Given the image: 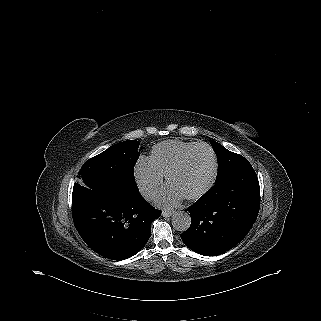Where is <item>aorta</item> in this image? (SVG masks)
I'll use <instances>...</instances> for the list:
<instances>
[{
	"mask_svg": "<svg viewBox=\"0 0 321 321\" xmlns=\"http://www.w3.org/2000/svg\"><path fill=\"white\" fill-rule=\"evenodd\" d=\"M191 225L190 214L184 211L175 212L172 216V226L175 230L184 232Z\"/></svg>",
	"mask_w": 321,
	"mask_h": 321,
	"instance_id": "obj_1",
	"label": "aorta"
}]
</instances>
